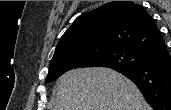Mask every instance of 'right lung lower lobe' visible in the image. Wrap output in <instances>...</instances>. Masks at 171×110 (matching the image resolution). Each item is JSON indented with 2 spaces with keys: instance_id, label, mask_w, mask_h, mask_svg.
<instances>
[{
  "instance_id": "obj_1",
  "label": "right lung lower lobe",
  "mask_w": 171,
  "mask_h": 110,
  "mask_svg": "<svg viewBox=\"0 0 171 110\" xmlns=\"http://www.w3.org/2000/svg\"><path fill=\"white\" fill-rule=\"evenodd\" d=\"M114 70L133 81L154 110H171V56L165 43L146 53L143 63Z\"/></svg>"
}]
</instances>
